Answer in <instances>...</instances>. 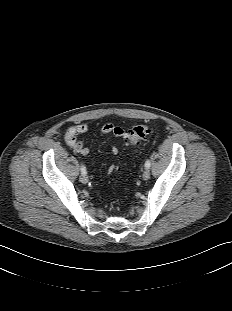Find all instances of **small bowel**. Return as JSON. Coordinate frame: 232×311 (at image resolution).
Returning <instances> with one entry per match:
<instances>
[{"label":"small bowel","mask_w":232,"mask_h":311,"mask_svg":"<svg viewBox=\"0 0 232 311\" xmlns=\"http://www.w3.org/2000/svg\"><path fill=\"white\" fill-rule=\"evenodd\" d=\"M88 129L89 125L87 123H81L78 125L70 126L64 135V141L66 145L75 153L81 154L83 156H87L89 154V148L79 140V136L86 133ZM100 134L103 136L113 134L116 137H121L125 134V131L123 128L115 126L112 123H106L102 126ZM117 153L118 149L116 147L112 148V154L116 155Z\"/></svg>","instance_id":"small-bowel-1"}]
</instances>
